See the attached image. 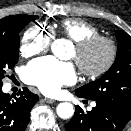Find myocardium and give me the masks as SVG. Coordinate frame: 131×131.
Segmentation results:
<instances>
[{
	"label": "myocardium",
	"mask_w": 131,
	"mask_h": 131,
	"mask_svg": "<svg viewBox=\"0 0 131 131\" xmlns=\"http://www.w3.org/2000/svg\"><path fill=\"white\" fill-rule=\"evenodd\" d=\"M97 44H103L107 48L108 54L101 66L95 69H89L82 64L81 57L90 48ZM75 51V61L81 73L89 78H98L107 73L112 68L117 58L118 48L112 38L98 34L75 42Z\"/></svg>",
	"instance_id": "f54148a6"
}]
</instances>
